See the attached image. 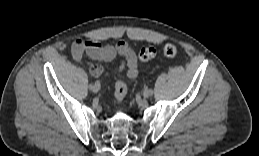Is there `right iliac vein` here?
<instances>
[{"mask_svg": "<svg viewBox=\"0 0 259 156\" xmlns=\"http://www.w3.org/2000/svg\"><path fill=\"white\" fill-rule=\"evenodd\" d=\"M100 89L99 85L93 84V88L91 89V91H93L94 93H97Z\"/></svg>", "mask_w": 259, "mask_h": 156, "instance_id": "right-iliac-vein-1", "label": "right iliac vein"}]
</instances>
